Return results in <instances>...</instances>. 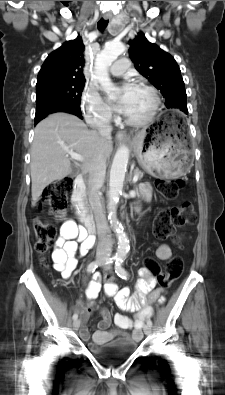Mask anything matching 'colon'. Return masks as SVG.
I'll list each match as a JSON object with an SVG mask.
<instances>
[{"instance_id": "5ec220e1", "label": "colon", "mask_w": 225, "mask_h": 395, "mask_svg": "<svg viewBox=\"0 0 225 395\" xmlns=\"http://www.w3.org/2000/svg\"><path fill=\"white\" fill-rule=\"evenodd\" d=\"M181 179H157L155 186L157 191L166 199H175L183 187ZM73 179L64 177L51 183L43 192L42 204L48 206L53 213L63 212L68 205V194L72 190ZM196 216L193 206L189 202H182L179 205L163 210L158 213L154 225L153 233L158 238L173 237L176 243H180L182 236L180 229L191 225L195 222ZM33 230L35 235V249L37 253L44 256L53 246L57 229L51 223L42 219H35L33 222ZM45 264L42 259V265ZM141 272H150L151 275H157L161 289L173 288V282L177 280L183 270V262L179 257H174L168 261L165 270L159 268L157 262L153 259H144L143 265L140 267ZM111 278H104V284L117 283L113 278L114 273L110 274Z\"/></svg>"}]
</instances>
